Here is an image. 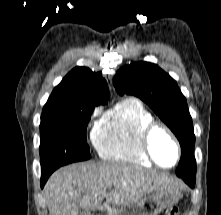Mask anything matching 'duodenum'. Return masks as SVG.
<instances>
[{
	"mask_svg": "<svg viewBox=\"0 0 221 215\" xmlns=\"http://www.w3.org/2000/svg\"><path fill=\"white\" fill-rule=\"evenodd\" d=\"M109 207L107 205H100L93 215H107Z\"/></svg>",
	"mask_w": 221,
	"mask_h": 215,
	"instance_id": "obj_1",
	"label": "duodenum"
}]
</instances>
